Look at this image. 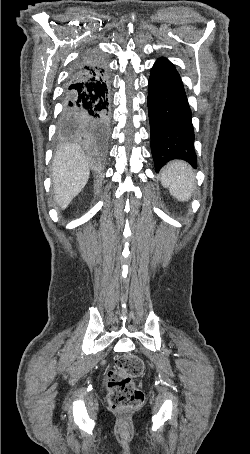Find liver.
Instances as JSON below:
<instances>
[{
  "instance_id": "obj_1",
  "label": "liver",
  "mask_w": 250,
  "mask_h": 454,
  "mask_svg": "<svg viewBox=\"0 0 250 454\" xmlns=\"http://www.w3.org/2000/svg\"><path fill=\"white\" fill-rule=\"evenodd\" d=\"M90 175L89 165L79 146H61L54 156L52 183L56 203L65 209L83 190Z\"/></svg>"
}]
</instances>
